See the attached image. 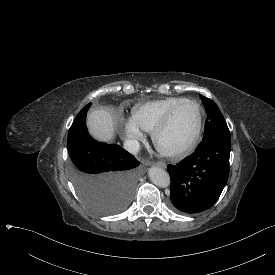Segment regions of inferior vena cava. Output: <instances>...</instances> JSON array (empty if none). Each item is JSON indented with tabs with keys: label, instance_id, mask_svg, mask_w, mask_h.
Masks as SVG:
<instances>
[{
	"label": "inferior vena cava",
	"instance_id": "602c4592",
	"mask_svg": "<svg viewBox=\"0 0 275 275\" xmlns=\"http://www.w3.org/2000/svg\"><path fill=\"white\" fill-rule=\"evenodd\" d=\"M123 147L129 153L136 154L140 148V145L136 140H127L124 142Z\"/></svg>",
	"mask_w": 275,
	"mask_h": 275
}]
</instances>
